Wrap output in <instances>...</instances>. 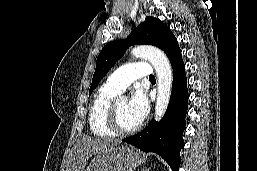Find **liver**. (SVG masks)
Here are the masks:
<instances>
[{"label":"liver","instance_id":"liver-1","mask_svg":"<svg viewBox=\"0 0 257 171\" xmlns=\"http://www.w3.org/2000/svg\"><path fill=\"white\" fill-rule=\"evenodd\" d=\"M120 143V140L83 137L68 158L66 171H85L87 160Z\"/></svg>","mask_w":257,"mask_h":171}]
</instances>
